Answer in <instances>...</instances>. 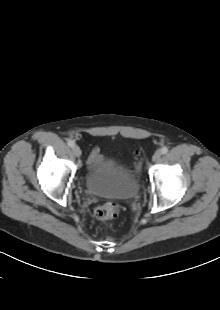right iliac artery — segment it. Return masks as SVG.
<instances>
[{
	"mask_svg": "<svg viewBox=\"0 0 220 310\" xmlns=\"http://www.w3.org/2000/svg\"><path fill=\"white\" fill-rule=\"evenodd\" d=\"M67 144H68L70 147H73V146L75 145V142H74L73 140L69 139V140L67 141Z\"/></svg>",
	"mask_w": 220,
	"mask_h": 310,
	"instance_id": "1",
	"label": "right iliac artery"
}]
</instances>
